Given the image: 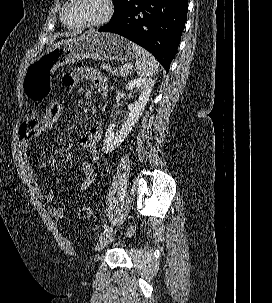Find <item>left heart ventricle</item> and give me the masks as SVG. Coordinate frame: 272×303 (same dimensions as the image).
Segmentation results:
<instances>
[{"label":"left heart ventricle","mask_w":272,"mask_h":303,"mask_svg":"<svg viewBox=\"0 0 272 303\" xmlns=\"http://www.w3.org/2000/svg\"><path fill=\"white\" fill-rule=\"evenodd\" d=\"M104 6L100 0H74L66 12V19L71 24H77L101 18Z\"/></svg>","instance_id":"left-heart-ventricle-1"}]
</instances>
